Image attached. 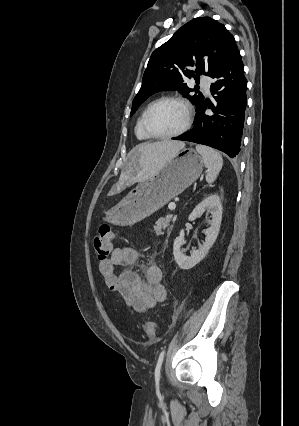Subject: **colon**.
<instances>
[{"label":"colon","mask_w":299,"mask_h":426,"mask_svg":"<svg viewBox=\"0 0 299 426\" xmlns=\"http://www.w3.org/2000/svg\"><path fill=\"white\" fill-rule=\"evenodd\" d=\"M114 246V234L108 224H102L93 240V247L96 253L98 263H99V272L104 279L106 286L110 290L117 291L119 290V279L118 275L115 273V268L110 262V255L112 253ZM145 333L147 337L155 341L158 338L157 325L154 322H148L145 325Z\"/></svg>","instance_id":"obj_1"}]
</instances>
